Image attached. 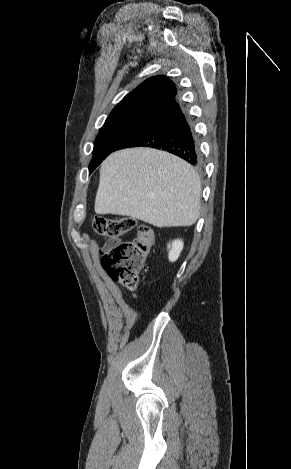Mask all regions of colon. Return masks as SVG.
<instances>
[{"mask_svg":"<svg viewBox=\"0 0 291 469\" xmlns=\"http://www.w3.org/2000/svg\"><path fill=\"white\" fill-rule=\"evenodd\" d=\"M135 225L134 219L124 216L116 218L95 216L91 222L95 234L111 239L101 259L102 268L112 280L131 290H135L138 286L139 274L154 243V232L145 224L138 227L133 239H119L134 229Z\"/></svg>","mask_w":291,"mask_h":469,"instance_id":"obj_1","label":"colon"}]
</instances>
